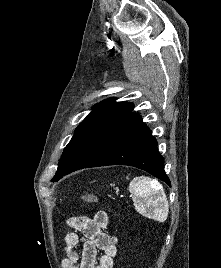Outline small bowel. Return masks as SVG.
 I'll return each mask as SVG.
<instances>
[{
  "instance_id": "1",
  "label": "small bowel",
  "mask_w": 221,
  "mask_h": 268,
  "mask_svg": "<svg viewBox=\"0 0 221 268\" xmlns=\"http://www.w3.org/2000/svg\"><path fill=\"white\" fill-rule=\"evenodd\" d=\"M68 225L73 231L65 237L66 258L62 268H113L117 253L116 238L106 231L109 225L106 212L98 211L93 217H71ZM77 232L85 238L81 253L78 252L80 240ZM99 251L103 253L98 258Z\"/></svg>"
}]
</instances>
